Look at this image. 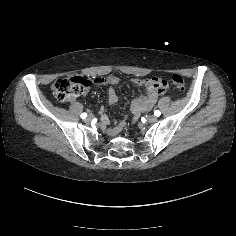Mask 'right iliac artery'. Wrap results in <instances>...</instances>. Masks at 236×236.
<instances>
[{
    "instance_id": "right-iliac-artery-1",
    "label": "right iliac artery",
    "mask_w": 236,
    "mask_h": 236,
    "mask_svg": "<svg viewBox=\"0 0 236 236\" xmlns=\"http://www.w3.org/2000/svg\"><path fill=\"white\" fill-rule=\"evenodd\" d=\"M86 117H87V114H86V113H82V114H81V118H82V119H85Z\"/></svg>"
}]
</instances>
